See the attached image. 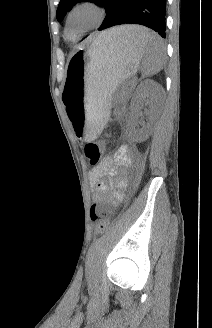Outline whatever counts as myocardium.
<instances>
[{"label":"myocardium","instance_id":"obj_1","mask_svg":"<svg viewBox=\"0 0 212 328\" xmlns=\"http://www.w3.org/2000/svg\"><path fill=\"white\" fill-rule=\"evenodd\" d=\"M83 10H88V11L93 12L96 16L95 20L88 27L84 28L83 30L75 32L72 30L73 18L78 12L83 11ZM105 15H106V10H105L104 6L101 3H99L98 1H96V0H79L70 8V10L67 13L65 31L72 32L74 36L79 35L83 32H86L88 30L98 27L101 24V22L103 21Z\"/></svg>","mask_w":212,"mask_h":328}]
</instances>
